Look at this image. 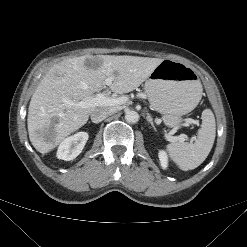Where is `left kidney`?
<instances>
[{"label": "left kidney", "instance_id": "left-kidney-1", "mask_svg": "<svg viewBox=\"0 0 247 247\" xmlns=\"http://www.w3.org/2000/svg\"><path fill=\"white\" fill-rule=\"evenodd\" d=\"M159 160L163 169L168 167V157L165 151L160 150L158 153Z\"/></svg>", "mask_w": 247, "mask_h": 247}]
</instances>
